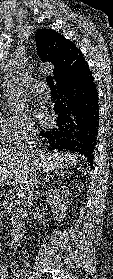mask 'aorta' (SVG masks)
Returning a JSON list of instances; mask_svg holds the SVG:
<instances>
[{
    "instance_id": "762f6f07",
    "label": "aorta",
    "mask_w": 113,
    "mask_h": 279,
    "mask_svg": "<svg viewBox=\"0 0 113 279\" xmlns=\"http://www.w3.org/2000/svg\"><path fill=\"white\" fill-rule=\"evenodd\" d=\"M20 96L17 93H12V95L9 98V109L10 111H17L18 110V100H19Z\"/></svg>"
}]
</instances>
